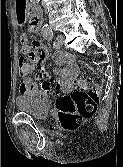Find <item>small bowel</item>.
Returning <instances> with one entry per match:
<instances>
[{"label":"small bowel","instance_id":"small-bowel-1","mask_svg":"<svg viewBox=\"0 0 123 167\" xmlns=\"http://www.w3.org/2000/svg\"><path fill=\"white\" fill-rule=\"evenodd\" d=\"M15 3H17L16 9H18L15 10V14H17V19H19L17 20V24H26L27 20L25 19L27 18V13H25V11L27 9L28 1L15 0ZM30 28L32 30L36 29V20L34 18H32L30 21ZM20 43L21 52L30 60V64L23 72L20 71L22 77L19 84V93L27 96H42L43 91L41 90V88L37 84L32 83L27 75L31 72L34 65H38L39 67L41 66V64L48 57V51L40 43L30 44L27 34L21 35ZM59 55L60 54L55 55V60L57 62H59L57 59ZM74 73V66L67 65L66 72L61 75L62 80L65 82V85L67 87L69 86V80L74 75Z\"/></svg>","mask_w":123,"mask_h":167}]
</instances>
